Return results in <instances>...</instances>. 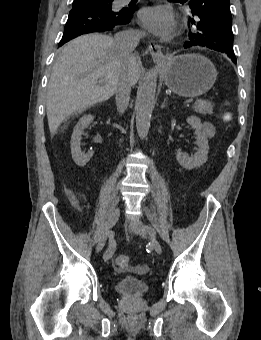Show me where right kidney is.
<instances>
[{"label": "right kidney", "mask_w": 261, "mask_h": 340, "mask_svg": "<svg viewBox=\"0 0 261 340\" xmlns=\"http://www.w3.org/2000/svg\"><path fill=\"white\" fill-rule=\"evenodd\" d=\"M94 116L92 115H85L76 124L73 134L71 137V154L74 162L78 166H85L91 157L93 156V151H89L88 153L81 152V139L84 133V129H86L90 123L93 121Z\"/></svg>", "instance_id": "right-kidney-1"}]
</instances>
